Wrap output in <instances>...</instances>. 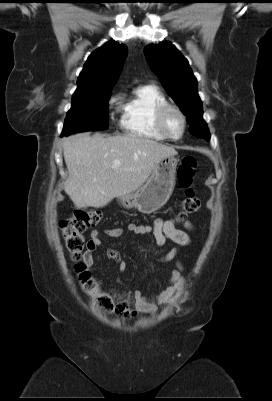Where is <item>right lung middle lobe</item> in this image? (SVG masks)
I'll list each match as a JSON object with an SVG mask.
<instances>
[{
	"label": "right lung middle lobe",
	"mask_w": 272,
	"mask_h": 401,
	"mask_svg": "<svg viewBox=\"0 0 272 401\" xmlns=\"http://www.w3.org/2000/svg\"><path fill=\"white\" fill-rule=\"evenodd\" d=\"M110 94L111 90H104L72 97V106L67 113L61 136L79 131L107 129Z\"/></svg>",
	"instance_id": "obj_1"
}]
</instances>
